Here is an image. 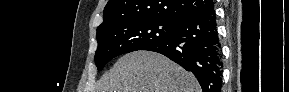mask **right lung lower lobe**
Returning a JSON list of instances; mask_svg holds the SVG:
<instances>
[{
	"label": "right lung lower lobe",
	"instance_id": "right-lung-lower-lobe-1",
	"mask_svg": "<svg viewBox=\"0 0 289 92\" xmlns=\"http://www.w3.org/2000/svg\"><path fill=\"white\" fill-rule=\"evenodd\" d=\"M141 50L161 53L191 71L203 92H220L223 63L214 7L181 19L170 38Z\"/></svg>",
	"mask_w": 289,
	"mask_h": 92
}]
</instances>
